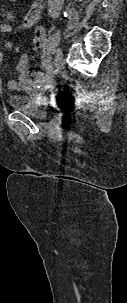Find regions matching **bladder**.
I'll use <instances>...</instances> for the list:
<instances>
[{
	"instance_id": "bladder-1",
	"label": "bladder",
	"mask_w": 127,
	"mask_h": 303,
	"mask_svg": "<svg viewBox=\"0 0 127 303\" xmlns=\"http://www.w3.org/2000/svg\"><path fill=\"white\" fill-rule=\"evenodd\" d=\"M7 102L12 109L30 117L44 118L46 116V102L35 94H12L8 96Z\"/></svg>"
}]
</instances>
